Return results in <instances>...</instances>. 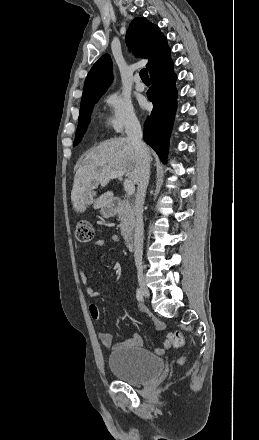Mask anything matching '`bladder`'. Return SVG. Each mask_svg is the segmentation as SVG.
Masks as SVG:
<instances>
[{"mask_svg":"<svg viewBox=\"0 0 259 440\" xmlns=\"http://www.w3.org/2000/svg\"><path fill=\"white\" fill-rule=\"evenodd\" d=\"M108 366L118 379L143 384L162 372L163 361L143 348L119 347L109 355Z\"/></svg>","mask_w":259,"mask_h":440,"instance_id":"31cf9c89","label":"bladder"}]
</instances>
